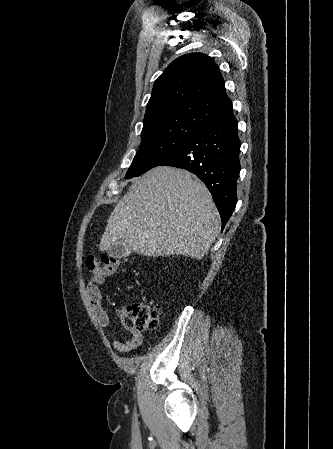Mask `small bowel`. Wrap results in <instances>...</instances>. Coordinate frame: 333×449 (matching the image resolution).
Instances as JSON below:
<instances>
[{
    "mask_svg": "<svg viewBox=\"0 0 333 449\" xmlns=\"http://www.w3.org/2000/svg\"><path fill=\"white\" fill-rule=\"evenodd\" d=\"M107 275L104 274H94L88 281L87 284V295L89 302L92 306L95 318L98 324L102 328H107L110 325V317L108 312L102 306V294L100 291V286L103 284L104 279ZM126 307H121L117 310V315L123 318L125 315ZM131 337L128 340H120L118 338H113V346L119 352H129L141 346L143 342V333L138 331L131 326H126Z\"/></svg>",
    "mask_w": 333,
    "mask_h": 449,
    "instance_id": "obj_1",
    "label": "small bowel"
}]
</instances>
